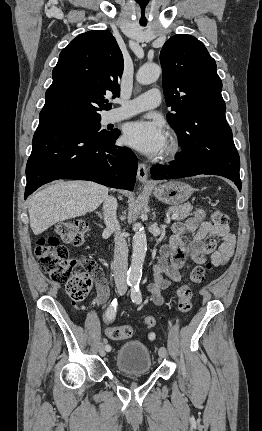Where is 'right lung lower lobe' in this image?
<instances>
[{
	"label": "right lung lower lobe",
	"instance_id": "1",
	"mask_svg": "<svg viewBox=\"0 0 262 431\" xmlns=\"http://www.w3.org/2000/svg\"><path fill=\"white\" fill-rule=\"evenodd\" d=\"M119 135V131L99 135L68 123H39L26 166L25 199L57 179L132 190L138 161L130 149L115 145Z\"/></svg>",
	"mask_w": 262,
	"mask_h": 431
}]
</instances>
